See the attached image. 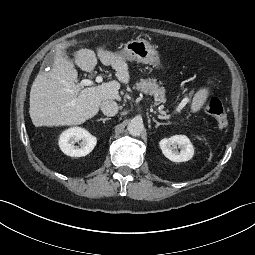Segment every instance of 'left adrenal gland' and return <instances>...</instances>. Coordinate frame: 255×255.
<instances>
[{
  "label": "left adrenal gland",
  "mask_w": 255,
  "mask_h": 255,
  "mask_svg": "<svg viewBox=\"0 0 255 255\" xmlns=\"http://www.w3.org/2000/svg\"><path fill=\"white\" fill-rule=\"evenodd\" d=\"M152 120L156 123V126H155L156 128H158L160 125H169V124H171L170 122L160 123L154 117L152 118Z\"/></svg>",
  "instance_id": "1"
}]
</instances>
